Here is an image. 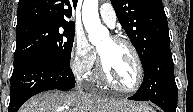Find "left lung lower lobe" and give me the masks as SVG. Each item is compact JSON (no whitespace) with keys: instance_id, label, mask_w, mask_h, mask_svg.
<instances>
[{"instance_id":"1","label":"left lung lower lobe","mask_w":193,"mask_h":112,"mask_svg":"<svg viewBox=\"0 0 193 112\" xmlns=\"http://www.w3.org/2000/svg\"><path fill=\"white\" fill-rule=\"evenodd\" d=\"M144 79L139 90L128 99L151 101L164 112H176L177 86L173 72L170 42L160 45L143 66Z\"/></svg>"}]
</instances>
